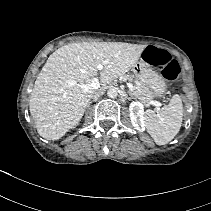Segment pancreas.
<instances>
[{
    "instance_id": "cf45deb5",
    "label": "pancreas",
    "mask_w": 211,
    "mask_h": 211,
    "mask_svg": "<svg viewBox=\"0 0 211 211\" xmlns=\"http://www.w3.org/2000/svg\"><path fill=\"white\" fill-rule=\"evenodd\" d=\"M123 78L135 84L133 90L130 91V93H132L136 99H139L143 103H148L154 97L149 87L136 79L134 75L126 74L123 75Z\"/></svg>"
}]
</instances>
